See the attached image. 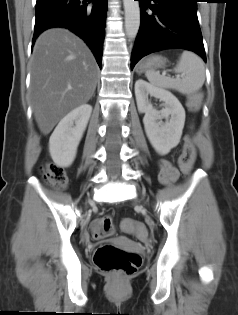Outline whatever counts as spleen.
Returning a JSON list of instances; mask_svg holds the SVG:
<instances>
[{"label": "spleen", "mask_w": 238, "mask_h": 315, "mask_svg": "<svg viewBox=\"0 0 238 315\" xmlns=\"http://www.w3.org/2000/svg\"><path fill=\"white\" fill-rule=\"evenodd\" d=\"M175 72L181 73L182 78L173 79L153 70L146 71V77L156 87L176 90L185 95L197 92L204 84V61L193 52L184 51L181 54Z\"/></svg>", "instance_id": "obj_1"}]
</instances>
